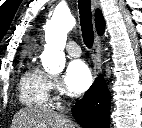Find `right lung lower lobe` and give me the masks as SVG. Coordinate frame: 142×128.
<instances>
[{
	"label": "right lung lower lobe",
	"instance_id": "98d812e1",
	"mask_svg": "<svg viewBox=\"0 0 142 128\" xmlns=\"http://www.w3.org/2000/svg\"><path fill=\"white\" fill-rule=\"evenodd\" d=\"M111 95L100 75L72 109L75 120L86 128H109Z\"/></svg>",
	"mask_w": 142,
	"mask_h": 128
}]
</instances>
